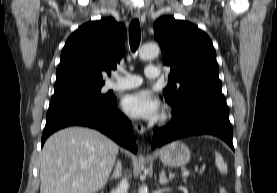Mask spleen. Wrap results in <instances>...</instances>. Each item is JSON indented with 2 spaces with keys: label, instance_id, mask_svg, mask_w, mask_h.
I'll list each match as a JSON object with an SVG mask.
<instances>
[{
  "label": "spleen",
  "instance_id": "3e777b00",
  "mask_svg": "<svg viewBox=\"0 0 277 193\" xmlns=\"http://www.w3.org/2000/svg\"><path fill=\"white\" fill-rule=\"evenodd\" d=\"M215 164L222 174L227 173V164L224 162L222 155L218 152H215Z\"/></svg>",
  "mask_w": 277,
  "mask_h": 193
}]
</instances>
